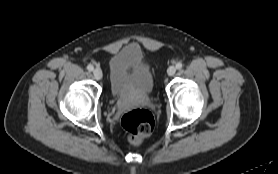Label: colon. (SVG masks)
Returning a JSON list of instances; mask_svg holds the SVG:
<instances>
[{
	"instance_id": "obj_1",
	"label": "colon",
	"mask_w": 278,
	"mask_h": 174,
	"mask_svg": "<svg viewBox=\"0 0 278 174\" xmlns=\"http://www.w3.org/2000/svg\"><path fill=\"white\" fill-rule=\"evenodd\" d=\"M121 124L129 134L131 140L134 143H140L153 131L154 117L145 108H135L122 117Z\"/></svg>"
}]
</instances>
